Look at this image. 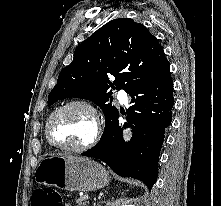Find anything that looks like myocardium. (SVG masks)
Returning <instances> with one entry per match:
<instances>
[{
	"label": "myocardium",
	"instance_id": "obj_1",
	"mask_svg": "<svg viewBox=\"0 0 221 206\" xmlns=\"http://www.w3.org/2000/svg\"><path fill=\"white\" fill-rule=\"evenodd\" d=\"M71 107L84 108L85 110H87L89 112V114L91 115L92 120H93L92 136L87 142H85L84 144H82L80 146L60 145V144L55 143L51 138L50 129H51V124H52L54 118L58 114L63 112L64 110L71 108ZM101 130H102L101 120H100V116H99L97 109L90 102L83 100V99L70 100V101H67L66 103L60 105L59 107H57L50 114V116L48 117V119L46 121V125H45V135H46V139L50 145H52L53 147H55L59 150L74 152V153H82V152L88 151L89 149L94 147L100 138Z\"/></svg>",
	"mask_w": 221,
	"mask_h": 206
}]
</instances>
